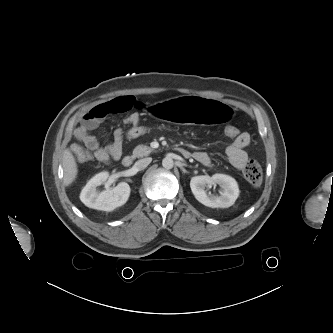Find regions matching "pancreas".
Returning a JSON list of instances; mask_svg holds the SVG:
<instances>
[{
  "label": "pancreas",
  "mask_w": 333,
  "mask_h": 333,
  "mask_svg": "<svg viewBox=\"0 0 333 333\" xmlns=\"http://www.w3.org/2000/svg\"><path fill=\"white\" fill-rule=\"evenodd\" d=\"M152 148L144 145H138L134 150H133V156L134 157H142V156H147L152 152Z\"/></svg>",
  "instance_id": "cf45deb5"
}]
</instances>
